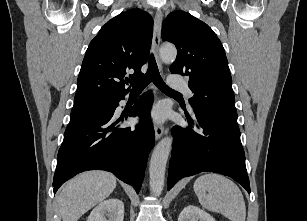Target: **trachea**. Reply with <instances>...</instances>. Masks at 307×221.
Returning <instances> with one entry per match:
<instances>
[{"label":"trachea","mask_w":307,"mask_h":221,"mask_svg":"<svg viewBox=\"0 0 307 221\" xmlns=\"http://www.w3.org/2000/svg\"><path fill=\"white\" fill-rule=\"evenodd\" d=\"M128 82H130L131 86L133 87L132 90H143L149 83L153 82L156 87L163 92L179 94V92L168 87L161 78L153 54H151L149 59V67L147 73L140 79H131L128 80Z\"/></svg>","instance_id":"trachea-1"}]
</instances>
